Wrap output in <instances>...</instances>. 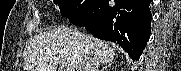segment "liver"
<instances>
[{
	"label": "liver",
	"instance_id": "6515ba94",
	"mask_svg": "<svg viewBox=\"0 0 181 71\" xmlns=\"http://www.w3.org/2000/svg\"><path fill=\"white\" fill-rule=\"evenodd\" d=\"M110 44L71 28H55L38 34L30 42L23 63L24 71H88L94 57L101 64L115 58Z\"/></svg>",
	"mask_w": 181,
	"mask_h": 71
}]
</instances>
